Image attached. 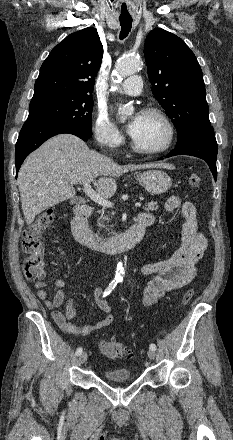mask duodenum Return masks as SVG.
I'll list each match as a JSON object with an SVG mask.
<instances>
[{
	"mask_svg": "<svg viewBox=\"0 0 233 440\" xmlns=\"http://www.w3.org/2000/svg\"><path fill=\"white\" fill-rule=\"evenodd\" d=\"M92 212L93 209L89 205L80 204L74 208L71 224L73 236L82 245L107 252H119L135 247L143 239L145 229L153 223L150 218L140 216L123 234L112 238H101L88 226V218Z\"/></svg>",
	"mask_w": 233,
	"mask_h": 440,
	"instance_id": "410a0bca",
	"label": "duodenum"
}]
</instances>
